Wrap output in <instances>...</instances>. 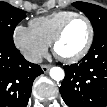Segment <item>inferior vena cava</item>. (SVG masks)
Wrapping results in <instances>:
<instances>
[{
	"instance_id": "inferior-vena-cava-1",
	"label": "inferior vena cava",
	"mask_w": 107,
	"mask_h": 107,
	"mask_svg": "<svg viewBox=\"0 0 107 107\" xmlns=\"http://www.w3.org/2000/svg\"><path fill=\"white\" fill-rule=\"evenodd\" d=\"M25 59L35 64H39L42 62V56L39 54H26Z\"/></svg>"
}]
</instances>
